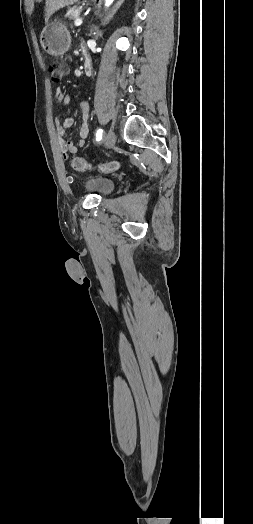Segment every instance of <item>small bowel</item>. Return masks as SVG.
Wrapping results in <instances>:
<instances>
[{
    "mask_svg": "<svg viewBox=\"0 0 253 524\" xmlns=\"http://www.w3.org/2000/svg\"><path fill=\"white\" fill-rule=\"evenodd\" d=\"M87 61L91 63L90 60H87ZM69 74H72V71H69ZM55 97H56V100L62 104H68L72 99L71 95L65 94L63 90L60 88L56 90ZM79 107H80V111L82 114V125L79 130L80 138L77 142L69 141V140H66L65 138L67 130L74 123L73 118L68 117L65 119H60V118L55 119L56 130H57L61 152H62L64 159L66 160L69 159L71 154L77 153L79 148H82L85 146V141L89 134V119H90L89 104L86 101H82Z\"/></svg>",
    "mask_w": 253,
    "mask_h": 524,
    "instance_id": "1",
    "label": "small bowel"
}]
</instances>
